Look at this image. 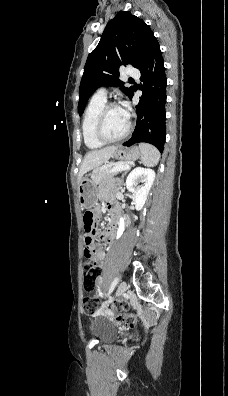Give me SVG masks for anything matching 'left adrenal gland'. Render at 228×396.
Returning <instances> with one entry per match:
<instances>
[{"instance_id":"1","label":"left adrenal gland","mask_w":228,"mask_h":396,"mask_svg":"<svg viewBox=\"0 0 228 396\" xmlns=\"http://www.w3.org/2000/svg\"><path fill=\"white\" fill-rule=\"evenodd\" d=\"M126 173H127V171L123 172L122 175H121V178L119 179V183H120L121 185L124 184L123 179H124V176L126 175Z\"/></svg>"}]
</instances>
